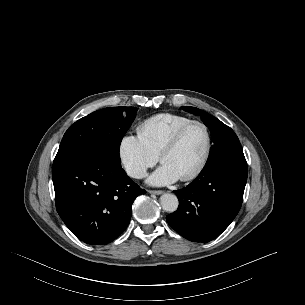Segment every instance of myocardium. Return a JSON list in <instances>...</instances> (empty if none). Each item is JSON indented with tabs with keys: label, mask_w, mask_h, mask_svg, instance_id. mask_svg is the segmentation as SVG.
Returning a JSON list of instances; mask_svg holds the SVG:
<instances>
[{
	"label": "myocardium",
	"mask_w": 305,
	"mask_h": 305,
	"mask_svg": "<svg viewBox=\"0 0 305 305\" xmlns=\"http://www.w3.org/2000/svg\"><path fill=\"white\" fill-rule=\"evenodd\" d=\"M193 125H199L204 129L205 135H206V145H205L204 154H203L202 159H201L200 163L198 164V166L193 171L188 173L187 175L179 178L183 182L190 181V180H193L196 177H198L204 171V169L208 163V160H209V157L211 154V149H212V135H211V131H210L209 127L203 121H200V120L188 121L187 123L180 126L173 133V135L163 145V147L161 148V150L159 151V154H158V159L162 163L163 157L167 153L172 151L178 145L184 132Z\"/></svg>",
	"instance_id": "1"
}]
</instances>
